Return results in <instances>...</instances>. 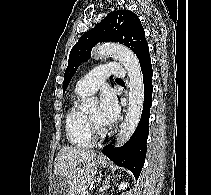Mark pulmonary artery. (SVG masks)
Here are the masks:
<instances>
[{"label": "pulmonary artery", "instance_id": "obj_1", "mask_svg": "<svg viewBox=\"0 0 211 195\" xmlns=\"http://www.w3.org/2000/svg\"><path fill=\"white\" fill-rule=\"evenodd\" d=\"M124 74V68L116 62L98 66L77 82L75 91L81 95L94 93L110 75L123 77Z\"/></svg>", "mask_w": 211, "mask_h": 195}]
</instances>
